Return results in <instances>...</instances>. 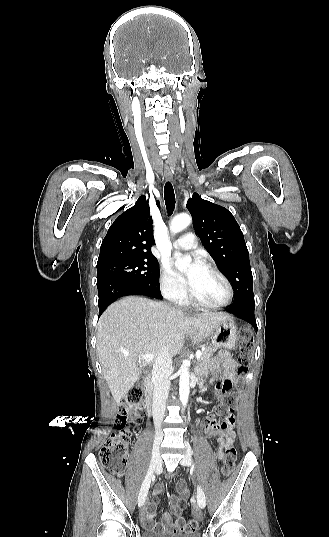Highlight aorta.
<instances>
[{
	"label": "aorta",
	"mask_w": 329,
	"mask_h": 537,
	"mask_svg": "<svg viewBox=\"0 0 329 537\" xmlns=\"http://www.w3.org/2000/svg\"><path fill=\"white\" fill-rule=\"evenodd\" d=\"M191 217L186 214L182 213L177 215L173 218L171 224H170V230L173 234H176L183 229L187 228L191 224ZM191 262V258L188 257L186 259V264ZM182 267H185V264L181 265ZM189 366L190 361L184 360L181 368L179 370L180 378H179V397L182 405L185 407L188 402L189 398V382H190V374H189Z\"/></svg>",
	"instance_id": "obj_1"
}]
</instances>
